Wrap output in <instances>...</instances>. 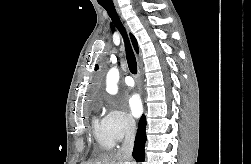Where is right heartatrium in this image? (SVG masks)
<instances>
[{
	"instance_id": "d8ad5b80",
	"label": "right heart atrium",
	"mask_w": 251,
	"mask_h": 164,
	"mask_svg": "<svg viewBox=\"0 0 251 164\" xmlns=\"http://www.w3.org/2000/svg\"><path fill=\"white\" fill-rule=\"evenodd\" d=\"M103 122L114 142L124 140L131 136L135 130V122L132 117L116 106H110L106 110Z\"/></svg>"
}]
</instances>
